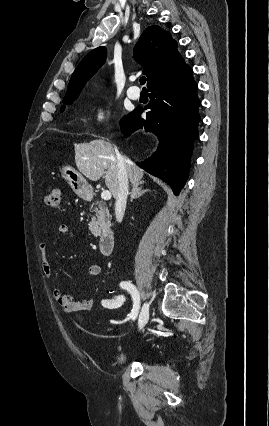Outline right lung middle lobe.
Segmentation results:
<instances>
[{
    "mask_svg": "<svg viewBox=\"0 0 269 426\" xmlns=\"http://www.w3.org/2000/svg\"><path fill=\"white\" fill-rule=\"evenodd\" d=\"M77 97H73V98H67V99H64L63 100V103L65 104V105H70V104H72L73 103V101L76 99ZM64 106H62V108H61V111H63L64 110Z\"/></svg>",
    "mask_w": 269,
    "mask_h": 426,
    "instance_id": "dd1d6c3e",
    "label": "right lung middle lobe"
}]
</instances>
